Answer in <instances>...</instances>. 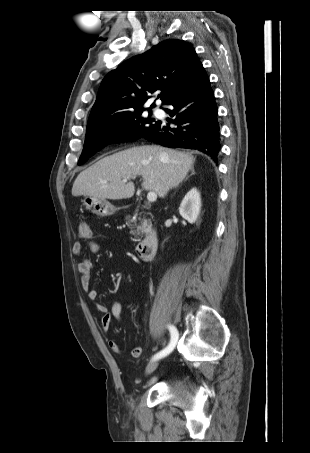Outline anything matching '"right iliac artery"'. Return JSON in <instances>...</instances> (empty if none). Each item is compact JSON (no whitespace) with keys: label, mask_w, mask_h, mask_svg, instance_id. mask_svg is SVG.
<instances>
[{"label":"right iliac artery","mask_w":310,"mask_h":453,"mask_svg":"<svg viewBox=\"0 0 310 453\" xmlns=\"http://www.w3.org/2000/svg\"><path fill=\"white\" fill-rule=\"evenodd\" d=\"M169 330L171 333V341H170L169 345L166 348H164L163 350H161L160 352H158L157 354H155L152 359H154V360L160 359L162 357L167 356L168 354H170L173 351L175 344L178 340V331L174 326H169Z\"/></svg>","instance_id":"obj_1"}]
</instances>
